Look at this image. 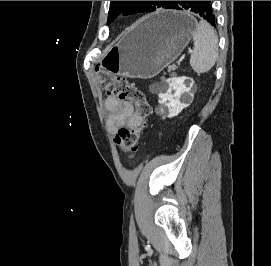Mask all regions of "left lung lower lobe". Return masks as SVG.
I'll return each instance as SVG.
<instances>
[{
  "instance_id": "obj_1",
  "label": "left lung lower lobe",
  "mask_w": 271,
  "mask_h": 266,
  "mask_svg": "<svg viewBox=\"0 0 271 266\" xmlns=\"http://www.w3.org/2000/svg\"><path fill=\"white\" fill-rule=\"evenodd\" d=\"M167 9H186L192 11L216 27L217 20L211 6V1H173Z\"/></svg>"
}]
</instances>
